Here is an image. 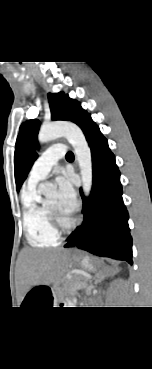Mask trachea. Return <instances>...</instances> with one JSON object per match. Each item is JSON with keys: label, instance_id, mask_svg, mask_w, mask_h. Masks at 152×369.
<instances>
[{"label": "trachea", "instance_id": "trachea-1", "mask_svg": "<svg viewBox=\"0 0 152 369\" xmlns=\"http://www.w3.org/2000/svg\"><path fill=\"white\" fill-rule=\"evenodd\" d=\"M74 157V155H73V153L71 152V151H69L67 154H66V158L68 159V158H73Z\"/></svg>", "mask_w": 152, "mask_h": 369}]
</instances>
